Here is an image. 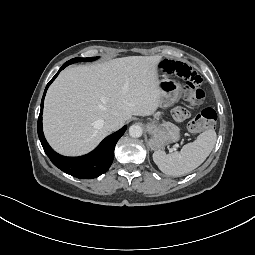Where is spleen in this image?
<instances>
[{
	"instance_id": "obj_1",
	"label": "spleen",
	"mask_w": 255,
	"mask_h": 255,
	"mask_svg": "<svg viewBox=\"0 0 255 255\" xmlns=\"http://www.w3.org/2000/svg\"><path fill=\"white\" fill-rule=\"evenodd\" d=\"M216 139L215 130H206L195 141L184 145L180 152L166 154L161 150L155 151L153 161L167 175L188 174L206 160L215 146Z\"/></svg>"
}]
</instances>
